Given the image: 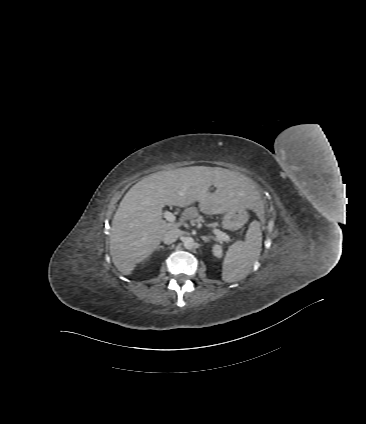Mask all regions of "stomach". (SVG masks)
<instances>
[{
  "label": "stomach",
  "mask_w": 366,
  "mask_h": 424,
  "mask_svg": "<svg viewBox=\"0 0 366 424\" xmlns=\"http://www.w3.org/2000/svg\"><path fill=\"white\" fill-rule=\"evenodd\" d=\"M246 208H234L225 212L222 227L226 230L235 231L241 228L243 221L247 220Z\"/></svg>",
  "instance_id": "stomach-1"
}]
</instances>
